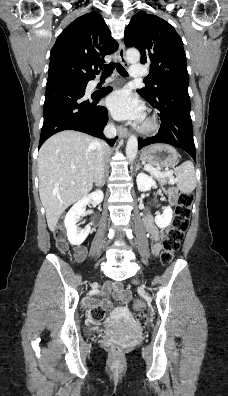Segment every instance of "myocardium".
Returning <instances> with one entry per match:
<instances>
[{"label": "myocardium", "mask_w": 228, "mask_h": 396, "mask_svg": "<svg viewBox=\"0 0 228 396\" xmlns=\"http://www.w3.org/2000/svg\"><path fill=\"white\" fill-rule=\"evenodd\" d=\"M158 129V121L154 116H147L139 127V131L144 134L152 133Z\"/></svg>", "instance_id": "1"}]
</instances>
